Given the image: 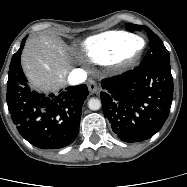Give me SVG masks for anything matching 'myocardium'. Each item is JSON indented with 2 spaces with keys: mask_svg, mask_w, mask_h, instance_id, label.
Listing matches in <instances>:
<instances>
[{
  "mask_svg": "<svg viewBox=\"0 0 187 187\" xmlns=\"http://www.w3.org/2000/svg\"><path fill=\"white\" fill-rule=\"evenodd\" d=\"M145 50V45L142 42L126 57L125 65H132L136 63L142 56Z\"/></svg>",
  "mask_w": 187,
  "mask_h": 187,
  "instance_id": "obj_1",
  "label": "myocardium"
}]
</instances>
